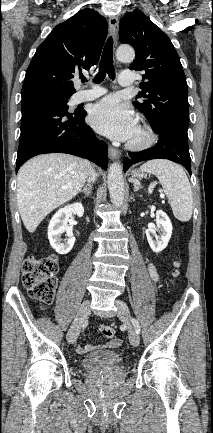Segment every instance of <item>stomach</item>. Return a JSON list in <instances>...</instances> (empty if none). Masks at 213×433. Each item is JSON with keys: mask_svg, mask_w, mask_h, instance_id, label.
<instances>
[{"mask_svg": "<svg viewBox=\"0 0 213 433\" xmlns=\"http://www.w3.org/2000/svg\"><path fill=\"white\" fill-rule=\"evenodd\" d=\"M132 176H133L135 179H142V178L144 177V173L141 172V171H139V170H133V171H132Z\"/></svg>", "mask_w": 213, "mask_h": 433, "instance_id": "1", "label": "stomach"}]
</instances>
